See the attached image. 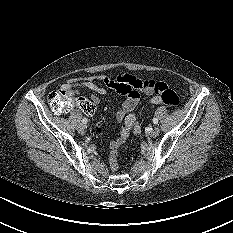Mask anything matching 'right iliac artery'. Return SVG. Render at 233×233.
Wrapping results in <instances>:
<instances>
[{"mask_svg":"<svg viewBox=\"0 0 233 233\" xmlns=\"http://www.w3.org/2000/svg\"><path fill=\"white\" fill-rule=\"evenodd\" d=\"M88 122V119L87 118H83L82 119V123L86 124Z\"/></svg>","mask_w":233,"mask_h":233,"instance_id":"1","label":"right iliac artery"}]
</instances>
